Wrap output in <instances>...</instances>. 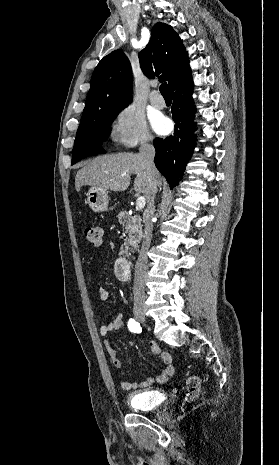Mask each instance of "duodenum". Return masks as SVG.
<instances>
[{"instance_id":"obj_1","label":"duodenum","mask_w":279,"mask_h":465,"mask_svg":"<svg viewBox=\"0 0 279 465\" xmlns=\"http://www.w3.org/2000/svg\"><path fill=\"white\" fill-rule=\"evenodd\" d=\"M116 275L123 281L128 282L130 280L129 263L125 257H120L116 262Z\"/></svg>"}]
</instances>
